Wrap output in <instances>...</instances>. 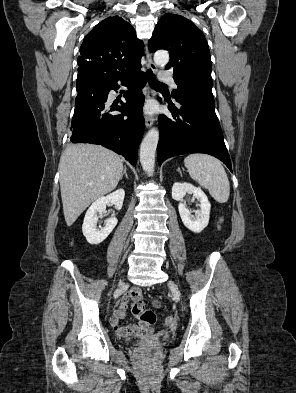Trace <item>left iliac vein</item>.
Returning a JSON list of instances; mask_svg holds the SVG:
<instances>
[{
  "instance_id": "left-iliac-vein-1",
  "label": "left iliac vein",
  "mask_w": 296,
  "mask_h": 393,
  "mask_svg": "<svg viewBox=\"0 0 296 393\" xmlns=\"http://www.w3.org/2000/svg\"><path fill=\"white\" fill-rule=\"evenodd\" d=\"M168 286L175 297H180V291L172 280L169 281Z\"/></svg>"
}]
</instances>
